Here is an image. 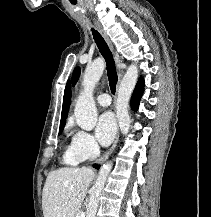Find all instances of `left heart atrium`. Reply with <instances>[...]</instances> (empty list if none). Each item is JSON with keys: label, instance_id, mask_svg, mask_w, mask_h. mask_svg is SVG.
<instances>
[{"label": "left heart atrium", "instance_id": "1", "mask_svg": "<svg viewBox=\"0 0 211 217\" xmlns=\"http://www.w3.org/2000/svg\"><path fill=\"white\" fill-rule=\"evenodd\" d=\"M95 133L102 145L110 144L116 133V122L112 113L106 112L99 117Z\"/></svg>", "mask_w": 211, "mask_h": 217}]
</instances>
